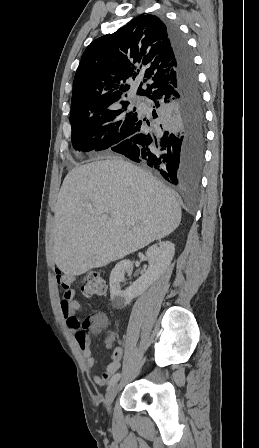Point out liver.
Returning a JSON list of instances; mask_svg holds the SVG:
<instances>
[{
  "label": "liver",
  "instance_id": "liver-1",
  "mask_svg": "<svg viewBox=\"0 0 259 448\" xmlns=\"http://www.w3.org/2000/svg\"><path fill=\"white\" fill-rule=\"evenodd\" d=\"M54 214V260L65 276L102 268L169 236L182 216L169 188L123 158L71 170Z\"/></svg>",
  "mask_w": 259,
  "mask_h": 448
}]
</instances>
